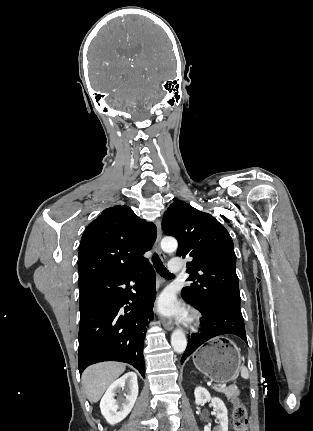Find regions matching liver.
Segmentation results:
<instances>
[{
  "label": "liver",
  "instance_id": "6515ba94",
  "mask_svg": "<svg viewBox=\"0 0 313 431\" xmlns=\"http://www.w3.org/2000/svg\"><path fill=\"white\" fill-rule=\"evenodd\" d=\"M125 371L118 362H104L89 366L82 375L87 397L91 403L100 400L106 389Z\"/></svg>",
  "mask_w": 313,
  "mask_h": 431
}]
</instances>
